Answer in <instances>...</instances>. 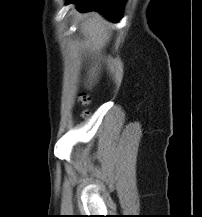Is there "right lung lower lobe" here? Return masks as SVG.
Returning a JSON list of instances; mask_svg holds the SVG:
<instances>
[{
	"label": "right lung lower lobe",
	"instance_id": "obj_1",
	"mask_svg": "<svg viewBox=\"0 0 202 217\" xmlns=\"http://www.w3.org/2000/svg\"><path fill=\"white\" fill-rule=\"evenodd\" d=\"M125 2L126 0H67V4H76L83 12L98 11L113 22L121 19Z\"/></svg>",
	"mask_w": 202,
	"mask_h": 217
}]
</instances>
